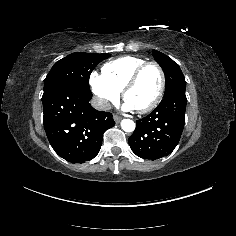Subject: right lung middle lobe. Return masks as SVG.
Segmentation results:
<instances>
[{"label": "right lung middle lobe", "instance_id": "1", "mask_svg": "<svg viewBox=\"0 0 236 236\" xmlns=\"http://www.w3.org/2000/svg\"><path fill=\"white\" fill-rule=\"evenodd\" d=\"M110 57V54L76 52L57 61L44 80V92L56 85L65 84L91 93L89 77L98 63Z\"/></svg>", "mask_w": 236, "mask_h": 236}]
</instances>
